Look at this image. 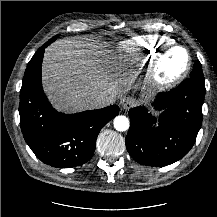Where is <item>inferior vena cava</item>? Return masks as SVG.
Wrapping results in <instances>:
<instances>
[{
  "label": "inferior vena cava",
  "instance_id": "obj_1",
  "mask_svg": "<svg viewBox=\"0 0 217 217\" xmlns=\"http://www.w3.org/2000/svg\"><path fill=\"white\" fill-rule=\"evenodd\" d=\"M86 102L90 109H99L112 104L114 98L105 94L96 93L88 96Z\"/></svg>",
  "mask_w": 217,
  "mask_h": 217
}]
</instances>
